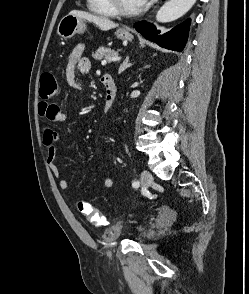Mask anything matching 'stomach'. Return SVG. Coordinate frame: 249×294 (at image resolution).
<instances>
[{"label":"stomach","mask_w":249,"mask_h":294,"mask_svg":"<svg viewBox=\"0 0 249 294\" xmlns=\"http://www.w3.org/2000/svg\"><path fill=\"white\" fill-rule=\"evenodd\" d=\"M85 20L73 14L64 16L58 24L57 33L62 39H70L75 34H82L85 32ZM116 36L121 40H132L133 36L127 28H120L116 31Z\"/></svg>","instance_id":"0dacf381"}]
</instances>
